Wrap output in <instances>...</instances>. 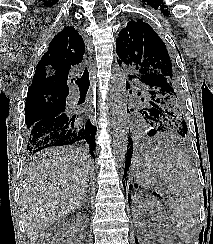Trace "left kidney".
I'll use <instances>...</instances> for the list:
<instances>
[{"mask_svg": "<svg viewBox=\"0 0 213 244\" xmlns=\"http://www.w3.org/2000/svg\"><path fill=\"white\" fill-rule=\"evenodd\" d=\"M132 213L137 227L141 230L140 244H156L145 233V214L152 215L157 227L156 241L159 244H173L161 205L151 197L138 196L133 200ZM180 244V243H178Z\"/></svg>", "mask_w": 213, "mask_h": 244, "instance_id": "5707ae66", "label": "left kidney"}]
</instances>
